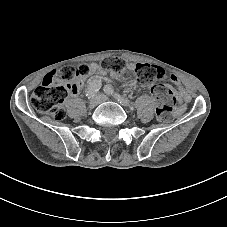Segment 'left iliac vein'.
<instances>
[{
    "label": "left iliac vein",
    "mask_w": 227,
    "mask_h": 227,
    "mask_svg": "<svg viewBox=\"0 0 227 227\" xmlns=\"http://www.w3.org/2000/svg\"><path fill=\"white\" fill-rule=\"evenodd\" d=\"M97 96L99 97V99H100L101 102H105V101L110 100L109 97L106 96V95H104V94H98ZM118 102L121 103V104H124V101L123 100H119Z\"/></svg>",
    "instance_id": "left-iliac-vein-1"
}]
</instances>
